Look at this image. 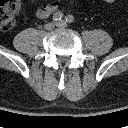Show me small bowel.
<instances>
[{"instance_id": "obj_1", "label": "small bowel", "mask_w": 128, "mask_h": 128, "mask_svg": "<svg viewBox=\"0 0 128 128\" xmlns=\"http://www.w3.org/2000/svg\"><path fill=\"white\" fill-rule=\"evenodd\" d=\"M59 7V0H53L48 2L41 7H39L36 11V16L39 19H45L49 17L52 13H54Z\"/></svg>"}]
</instances>
